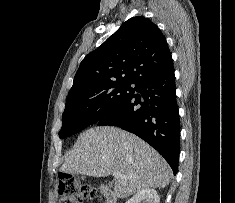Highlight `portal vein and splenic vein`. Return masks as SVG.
Returning a JSON list of instances; mask_svg holds the SVG:
<instances>
[{
  "label": "portal vein and splenic vein",
  "mask_w": 235,
  "mask_h": 203,
  "mask_svg": "<svg viewBox=\"0 0 235 203\" xmlns=\"http://www.w3.org/2000/svg\"><path fill=\"white\" fill-rule=\"evenodd\" d=\"M113 176H114L115 178H119V177L122 176V174H121L120 172H115V173H113Z\"/></svg>",
  "instance_id": "portal-vein-and-splenic-vein-1"
}]
</instances>
